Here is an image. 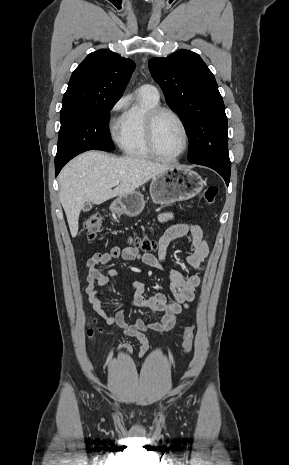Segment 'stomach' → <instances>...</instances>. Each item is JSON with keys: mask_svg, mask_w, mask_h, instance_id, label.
I'll return each mask as SVG.
<instances>
[{"mask_svg": "<svg viewBox=\"0 0 289 465\" xmlns=\"http://www.w3.org/2000/svg\"><path fill=\"white\" fill-rule=\"evenodd\" d=\"M201 176L182 166H171L166 171L152 178L150 183V195L156 204H171L188 200L198 194L204 185ZM145 207L143 195L134 191L119 196L110 206V209L118 215L135 217Z\"/></svg>", "mask_w": 289, "mask_h": 465, "instance_id": "stomach-1", "label": "stomach"}]
</instances>
